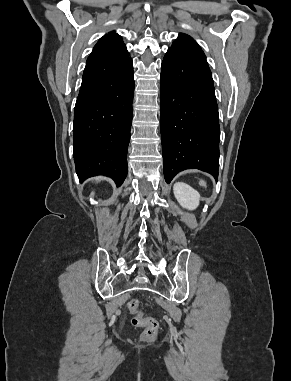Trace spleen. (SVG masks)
<instances>
[{
    "instance_id": "1",
    "label": "spleen",
    "mask_w": 291,
    "mask_h": 381,
    "mask_svg": "<svg viewBox=\"0 0 291 381\" xmlns=\"http://www.w3.org/2000/svg\"><path fill=\"white\" fill-rule=\"evenodd\" d=\"M199 184L203 187H206V182L204 180H200L199 181Z\"/></svg>"
}]
</instances>
